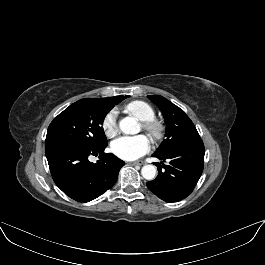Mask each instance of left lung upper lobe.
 I'll use <instances>...</instances> for the list:
<instances>
[{
    "instance_id": "5c2ea615",
    "label": "left lung upper lobe",
    "mask_w": 265,
    "mask_h": 265,
    "mask_svg": "<svg viewBox=\"0 0 265 265\" xmlns=\"http://www.w3.org/2000/svg\"><path fill=\"white\" fill-rule=\"evenodd\" d=\"M148 98L160 109L166 123V138L155 153L164 154L175 147L201 140L193 122L182 109L160 95Z\"/></svg>"
}]
</instances>
